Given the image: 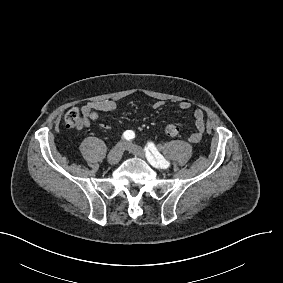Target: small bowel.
<instances>
[{
  "instance_id": "small-bowel-1",
  "label": "small bowel",
  "mask_w": 283,
  "mask_h": 283,
  "mask_svg": "<svg viewBox=\"0 0 283 283\" xmlns=\"http://www.w3.org/2000/svg\"><path fill=\"white\" fill-rule=\"evenodd\" d=\"M164 107V102L157 100L153 102L152 108L154 110H161ZM191 104L187 101H181L179 108L183 111L189 110ZM117 108V104L113 100H101L88 102L82 106V118L80 126L89 127L91 122L98 121L100 119L101 112L114 111ZM194 130L189 135L188 141L192 144H196L201 141L205 131V116L202 109L197 108L193 111Z\"/></svg>"
}]
</instances>
